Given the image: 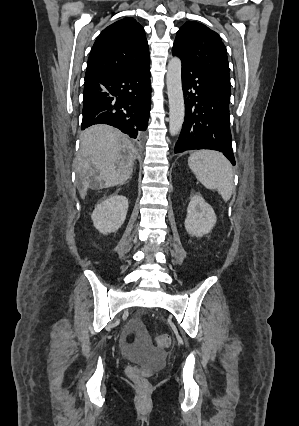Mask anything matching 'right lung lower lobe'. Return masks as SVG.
I'll return each mask as SVG.
<instances>
[{
	"label": "right lung lower lobe",
	"instance_id": "1",
	"mask_svg": "<svg viewBox=\"0 0 299 426\" xmlns=\"http://www.w3.org/2000/svg\"><path fill=\"white\" fill-rule=\"evenodd\" d=\"M150 63L98 78L85 79L81 129L108 124L140 138L150 114Z\"/></svg>",
	"mask_w": 299,
	"mask_h": 426
}]
</instances>
